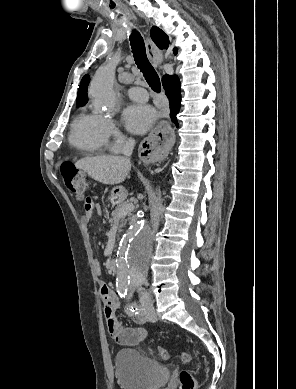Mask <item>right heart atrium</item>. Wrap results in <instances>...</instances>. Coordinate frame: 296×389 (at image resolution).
I'll return each mask as SVG.
<instances>
[{"label": "right heart atrium", "mask_w": 296, "mask_h": 389, "mask_svg": "<svg viewBox=\"0 0 296 389\" xmlns=\"http://www.w3.org/2000/svg\"><path fill=\"white\" fill-rule=\"evenodd\" d=\"M105 129L108 139L112 140V149L119 150L125 142V138L119 130L116 122L111 119H106Z\"/></svg>", "instance_id": "right-heart-atrium-1"}]
</instances>
